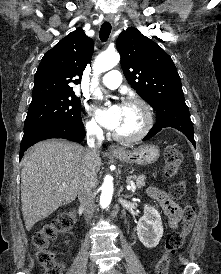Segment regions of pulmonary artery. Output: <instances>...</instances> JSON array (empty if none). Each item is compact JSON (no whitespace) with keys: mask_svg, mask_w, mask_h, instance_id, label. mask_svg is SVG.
Returning a JSON list of instances; mask_svg holds the SVG:
<instances>
[{"mask_svg":"<svg viewBox=\"0 0 221 274\" xmlns=\"http://www.w3.org/2000/svg\"><path fill=\"white\" fill-rule=\"evenodd\" d=\"M101 82L109 89H116L121 84V74L117 70H111L102 77Z\"/></svg>","mask_w":221,"mask_h":274,"instance_id":"pulmonary-artery-1","label":"pulmonary artery"}]
</instances>
